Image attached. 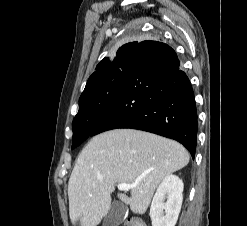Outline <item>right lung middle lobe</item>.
<instances>
[{"mask_svg": "<svg viewBox=\"0 0 247 226\" xmlns=\"http://www.w3.org/2000/svg\"><path fill=\"white\" fill-rule=\"evenodd\" d=\"M130 58V56L119 54L113 61L107 58L108 63L101 74L80 96L79 111L73 119L72 149L91 136L97 123L119 92Z\"/></svg>", "mask_w": 247, "mask_h": 226, "instance_id": "dd1d6c3e", "label": "right lung middle lobe"}]
</instances>
